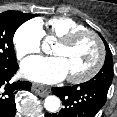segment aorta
<instances>
[{
    "mask_svg": "<svg viewBox=\"0 0 117 117\" xmlns=\"http://www.w3.org/2000/svg\"><path fill=\"white\" fill-rule=\"evenodd\" d=\"M48 40H45L42 44L43 49L48 47ZM61 101L55 95H50L45 98L44 108L49 112H56L60 108Z\"/></svg>",
    "mask_w": 117,
    "mask_h": 117,
    "instance_id": "1",
    "label": "aorta"
}]
</instances>
